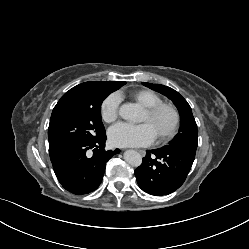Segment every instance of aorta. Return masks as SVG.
<instances>
[{
  "instance_id": "1",
  "label": "aorta",
  "mask_w": 249,
  "mask_h": 249,
  "mask_svg": "<svg viewBox=\"0 0 249 249\" xmlns=\"http://www.w3.org/2000/svg\"><path fill=\"white\" fill-rule=\"evenodd\" d=\"M139 109L135 104H123L119 109V115L125 120L133 121L137 118ZM125 161L133 167H138L142 163L141 155L134 150H128L124 153Z\"/></svg>"
}]
</instances>
